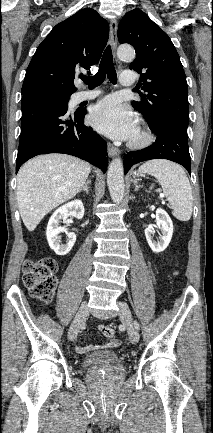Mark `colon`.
Segmentation results:
<instances>
[{"mask_svg": "<svg viewBox=\"0 0 213 433\" xmlns=\"http://www.w3.org/2000/svg\"><path fill=\"white\" fill-rule=\"evenodd\" d=\"M57 269L58 264L53 257L27 259L23 263V283L31 296L44 303L52 300L57 287ZM100 331L108 339L115 335L114 329L108 325L100 326Z\"/></svg>", "mask_w": 213, "mask_h": 433, "instance_id": "1", "label": "colon"}]
</instances>
